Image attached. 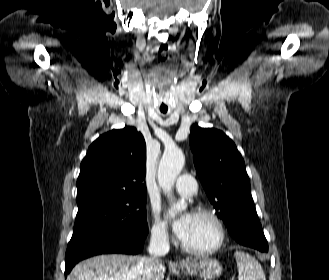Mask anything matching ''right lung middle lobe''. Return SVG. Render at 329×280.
<instances>
[{"label": "right lung middle lobe", "mask_w": 329, "mask_h": 280, "mask_svg": "<svg viewBox=\"0 0 329 280\" xmlns=\"http://www.w3.org/2000/svg\"><path fill=\"white\" fill-rule=\"evenodd\" d=\"M78 213L69 244L93 233L106 232L126 239H138L148 232L146 196L77 199Z\"/></svg>", "instance_id": "obj_1"}]
</instances>
